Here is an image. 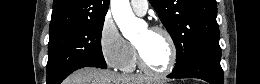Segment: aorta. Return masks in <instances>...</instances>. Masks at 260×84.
I'll return each instance as SVG.
<instances>
[{"label":"aorta","mask_w":260,"mask_h":84,"mask_svg":"<svg viewBox=\"0 0 260 84\" xmlns=\"http://www.w3.org/2000/svg\"><path fill=\"white\" fill-rule=\"evenodd\" d=\"M110 7L123 36L133 39L141 27V21L134 15L129 0H111Z\"/></svg>","instance_id":"762f6f07"}]
</instances>
